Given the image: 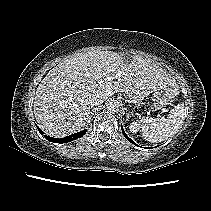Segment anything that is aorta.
Here are the masks:
<instances>
[{
  "label": "aorta",
  "mask_w": 211,
  "mask_h": 211,
  "mask_svg": "<svg viewBox=\"0 0 211 211\" xmlns=\"http://www.w3.org/2000/svg\"><path fill=\"white\" fill-rule=\"evenodd\" d=\"M107 108L109 111H119L120 109V103L117 100H111L108 104H107Z\"/></svg>",
  "instance_id": "1"
}]
</instances>
